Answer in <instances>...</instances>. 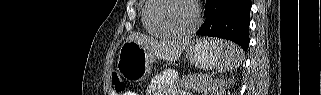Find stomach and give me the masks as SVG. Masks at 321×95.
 Wrapping results in <instances>:
<instances>
[{"instance_id": "1", "label": "stomach", "mask_w": 321, "mask_h": 95, "mask_svg": "<svg viewBox=\"0 0 321 95\" xmlns=\"http://www.w3.org/2000/svg\"><path fill=\"white\" fill-rule=\"evenodd\" d=\"M223 42L199 39L188 44L187 56L192 64L201 69L215 66L223 52ZM156 56L133 41H126L120 47L117 60L119 74L131 81L146 79L152 72Z\"/></svg>"}]
</instances>
